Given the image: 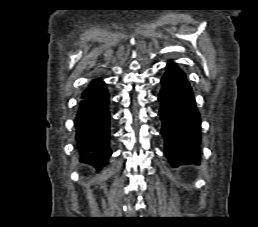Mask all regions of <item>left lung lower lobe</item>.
Wrapping results in <instances>:
<instances>
[{"mask_svg": "<svg viewBox=\"0 0 258 227\" xmlns=\"http://www.w3.org/2000/svg\"><path fill=\"white\" fill-rule=\"evenodd\" d=\"M165 155L173 166L200 160L201 120L185 73L169 62L158 95Z\"/></svg>", "mask_w": 258, "mask_h": 227, "instance_id": "left-lung-lower-lobe-1", "label": "left lung lower lobe"}]
</instances>
